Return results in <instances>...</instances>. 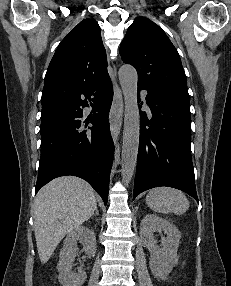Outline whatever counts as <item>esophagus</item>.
<instances>
[{
	"label": "esophagus",
	"mask_w": 231,
	"mask_h": 286,
	"mask_svg": "<svg viewBox=\"0 0 231 286\" xmlns=\"http://www.w3.org/2000/svg\"><path fill=\"white\" fill-rule=\"evenodd\" d=\"M114 74L116 76V66H114ZM123 113V97L117 82L114 86V97L110 112V130L114 143L117 142L120 135Z\"/></svg>",
	"instance_id": "1"
}]
</instances>
